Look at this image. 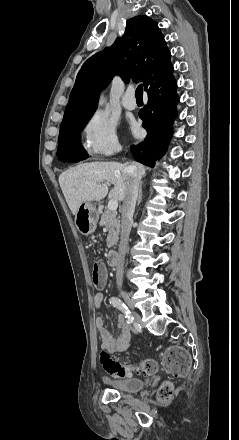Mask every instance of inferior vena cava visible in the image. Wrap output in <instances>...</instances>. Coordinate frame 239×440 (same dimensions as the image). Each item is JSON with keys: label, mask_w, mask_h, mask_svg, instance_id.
<instances>
[{"label": "inferior vena cava", "mask_w": 239, "mask_h": 440, "mask_svg": "<svg viewBox=\"0 0 239 440\" xmlns=\"http://www.w3.org/2000/svg\"><path fill=\"white\" fill-rule=\"evenodd\" d=\"M125 172L128 176V180L126 184V196L122 206L120 244L116 266V284L118 288H121L123 282L124 258L127 252L128 238L133 222V214L140 184L135 166H128V168H125Z\"/></svg>", "instance_id": "602c4592"}]
</instances>
